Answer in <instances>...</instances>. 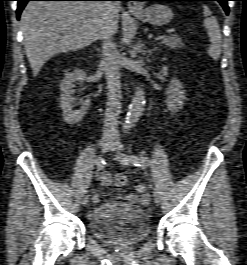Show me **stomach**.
I'll use <instances>...</instances> for the list:
<instances>
[{
  "mask_svg": "<svg viewBox=\"0 0 247 265\" xmlns=\"http://www.w3.org/2000/svg\"><path fill=\"white\" fill-rule=\"evenodd\" d=\"M133 14L144 22L156 26H163L169 23L174 16L172 10L163 4H153L140 11H134Z\"/></svg>",
  "mask_w": 247,
  "mask_h": 265,
  "instance_id": "obj_1",
  "label": "stomach"
}]
</instances>
